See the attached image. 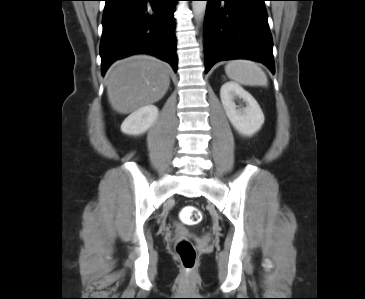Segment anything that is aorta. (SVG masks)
<instances>
[{
	"label": "aorta",
	"mask_w": 365,
	"mask_h": 299,
	"mask_svg": "<svg viewBox=\"0 0 365 299\" xmlns=\"http://www.w3.org/2000/svg\"><path fill=\"white\" fill-rule=\"evenodd\" d=\"M207 1H192V9L196 20H202L205 15Z\"/></svg>",
	"instance_id": "obj_1"
}]
</instances>
